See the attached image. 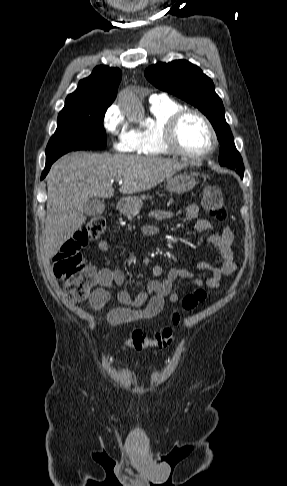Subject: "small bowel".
<instances>
[{
	"instance_id": "obj_1",
	"label": "small bowel",
	"mask_w": 287,
	"mask_h": 486,
	"mask_svg": "<svg viewBox=\"0 0 287 486\" xmlns=\"http://www.w3.org/2000/svg\"><path fill=\"white\" fill-rule=\"evenodd\" d=\"M199 208L197 205H189L186 209V217L195 220L194 228L198 232H205L212 229L211 222L206 218L198 217ZM176 214L172 211L155 209L148 214V217L155 220L172 219ZM141 232L147 236L158 235V228L154 225L144 224L140 228ZM234 234L232 230L225 226L221 233L211 234L208 241L220 253L221 263L211 265L201 263L198 265L199 271H208L211 276L205 281L198 277L194 272L187 269L171 267L164 271L160 264L152 267V279L146 284L145 289L136 295L122 290L116 294L120 307L112 309L108 314V321L111 325L133 323L141 320L151 319L157 316L164 306L165 299L170 302H177L179 294L173 290L174 282L179 278L190 279L196 287L206 285L209 288H218L222 277L230 276L237 270V263L232 249ZM101 252H107L109 243L101 240L98 243ZM125 282V275L119 269L110 267L101 268L96 277L97 287L89 297V304L94 310L102 309L113 297L115 286H121Z\"/></svg>"
}]
</instances>
